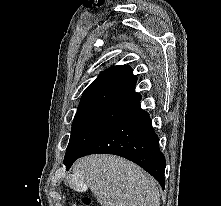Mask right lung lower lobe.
<instances>
[{
  "mask_svg": "<svg viewBox=\"0 0 221 206\" xmlns=\"http://www.w3.org/2000/svg\"><path fill=\"white\" fill-rule=\"evenodd\" d=\"M158 142L151 119L138 101L99 134L77 158L95 153L122 156L141 166L164 189L166 161ZM76 159L65 163L67 170Z\"/></svg>",
  "mask_w": 221,
  "mask_h": 206,
  "instance_id": "98d812e1",
  "label": "right lung lower lobe"
}]
</instances>
